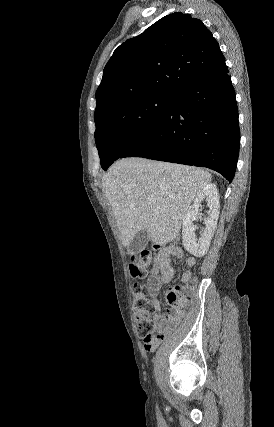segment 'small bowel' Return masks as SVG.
Masks as SVG:
<instances>
[{"label": "small bowel", "instance_id": "c3829d8e", "mask_svg": "<svg viewBox=\"0 0 274 427\" xmlns=\"http://www.w3.org/2000/svg\"><path fill=\"white\" fill-rule=\"evenodd\" d=\"M183 261L185 270L180 275L181 282H187L191 278L192 269L196 264V259L192 255H187L183 247L172 244L161 248L153 259L152 266L145 270L144 277L147 281V298L154 309V332L150 337H144V349L151 353L167 338L180 321L183 312L180 305L176 304L165 314L161 313L158 293L160 289L168 284L174 275L172 261Z\"/></svg>", "mask_w": 274, "mask_h": 427}]
</instances>
